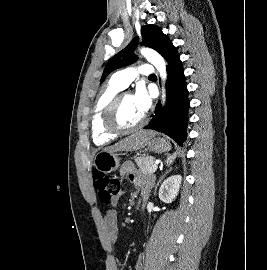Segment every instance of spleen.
<instances>
[{"mask_svg":"<svg viewBox=\"0 0 267 270\" xmlns=\"http://www.w3.org/2000/svg\"><path fill=\"white\" fill-rule=\"evenodd\" d=\"M174 159H175V155H172L169 158H167V164L170 165L173 162Z\"/></svg>","mask_w":267,"mask_h":270,"instance_id":"spleen-1","label":"spleen"}]
</instances>
